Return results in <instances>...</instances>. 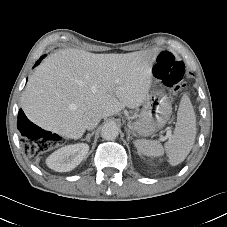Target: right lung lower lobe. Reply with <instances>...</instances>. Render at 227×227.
<instances>
[{"label":"right lung lower lobe","instance_id":"1","mask_svg":"<svg viewBox=\"0 0 227 227\" xmlns=\"http://www.w3.org/2000/svg\"><path fill=\"white\" fill-rule=\"evenodd\" d=\"M45 57V55L41 56L40 59L36 62V66L41 62V60ZM27 125H34L33 123H31L27 117L25 116L24 112L20 109L19 114H18V129L21 131V133L24 132L25 127H27Z\"/></svg>","mask_w":227,"mask_h":227}]
</instances>
